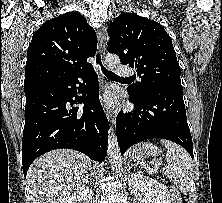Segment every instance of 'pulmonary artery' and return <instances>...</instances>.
I'll return each mask as SVG.
<instances>
[{
    "mask_svg": "<svg viewBox=\"0 0 222 203\" xmlns=\"http://www.w3.org/2000/svg\"><path fill=\"white\" fill-rule=\"evenodd\" d=\"M116 74L118 76H122V77H129V76L133 75V72H132V70L128 66L119 65L116 68Z\"/></svg>",
    "mask_w": 222,
    "mask_h": 203,
    "instance_id": "pulmonary-artery-1",
    "label": "pulmonary artery"
}]
</instances>
